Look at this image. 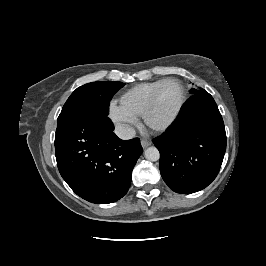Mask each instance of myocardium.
I'll use <instances>...</instances> for the list:
<instances>
[{
	"label": "myocardium",
	"mask_w": 266,
	"mask_h": 266,
	"mask_svg": "<svg viewBox=\"0 0 266 266\" xmlns=\"http://www.w3.org/2000/svg\"><path fill=\"white\" fill-rule=\"evenodd\" d=\"M171 82H175L180 86L181 89V99L179 102V105L176 109V111L174 112V114L163 124L161 125H155L151 122L150 120V115L154 109L157 97L159 95V92L161 91V89L163 88L164 85L171 83ZM187 100V90L185 88V85L183 84V82L178 79V78H167L165 79L153 92L148 104L146 105L144 112H143V120L145 122V124L153 131L155 132H163L166 131L167 129H169L174 123L175 121L178 119L179 115L181 114L184 105L186 103Z\"/></svg>",
	"instance_id": "1"
}]
</instances>
